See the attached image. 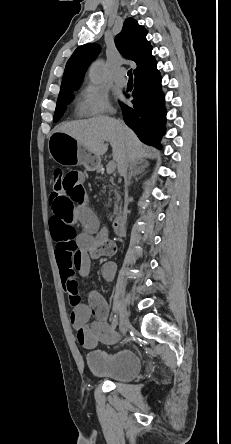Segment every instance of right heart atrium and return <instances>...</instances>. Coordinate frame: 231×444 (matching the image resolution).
<instances>
[{"label": "right heart atrium", "mask_w": 231, "mask_h": 444, "mask_svg": "<svg viewBox=\"0 0 231 444\" xmlns=\"http://www.w3.org/2000/svg\"><path fill=\"white\" fill-rule=\"evenodd\" d=\"M78 113L82 116H101L112 112L106 91L95 86H85L78 98Z\"/></svg>", "instance_id": "d8ad5b80"}]
</instances>
